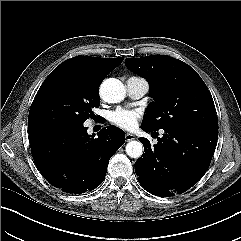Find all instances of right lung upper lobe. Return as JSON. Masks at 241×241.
Segmentation results:
<instances>
[{"mask_svg":"<svg viewBox=\"0 0 241 241\" xmlns=\"http://www.w3.org/2000/svg\"><path fill=\"white\" fill-rule=\"evenodd\" d=\"M123 59V57L98 58L80 56L69 59L61 63L60 66L69 67L85 86L98 90L105 76L120 65Z\"/></svg>","mask_w":241,"mask_h":241,"instance_id":"right-lung-upper-lobe-1","label":"right lung upper lobe"}]
</instances>
